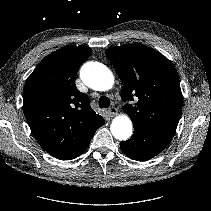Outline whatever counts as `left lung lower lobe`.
<instances>
[{
	"label": "left lung lower lobe",
	"instance_id": "1",
	"mask_svg": "<svg viewBox=\"0 0 211 211\" xmlns=\"http://www.w3.org/2000/svg\"><path fill=\"white\" fill-rule=\"evenodd\" d=\"M173 131L134 127L133 136L120 143L122 152L131 159L145 161L158 155L171 141Z\"/></svg>",
	"mask_w": 211,
	"mask_h": 211
}]
</instances>
